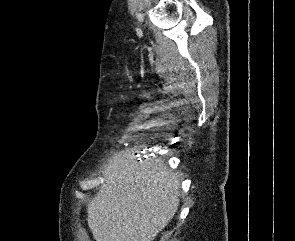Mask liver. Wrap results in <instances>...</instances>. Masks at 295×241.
<instances>
[{"label": "liver", "instance_id": "liver-1", "mask_svg": "<svg viewBox=\"0 0 295 241\" xmlns=\"http://www.w3.org/2000/svg\"><path fill=\"white\" fill-rule=\"evenodd\" d=\"M134 153L126 149L108 161L104 183L88 202L96 241H153L178 210V175L162 159L138 162Z\"/></svg>", "mask_w": 295, "mask_h": 241}]
</instances>
